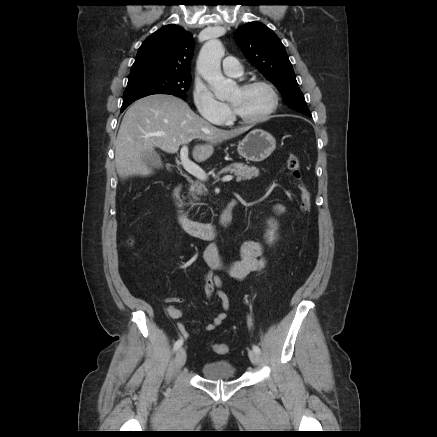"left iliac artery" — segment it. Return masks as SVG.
I'll use <instances>...</instances> for the list:
<instances>
[{"mask_svg": "<svg viewBox=\"0 0 437 437\" xmlns=\"http://www.w3.org/2000/svg\"><path fill=\"white\" fill-rule=\"evenodd\" d=\"M248 324L249 326H251V319H248ZM253 350L256 351L257 353H260V348L257 345H253Z\"/></svg>", "mask_w": 437, "mask_h": 437, "instance_id": "obj_1", "label": "left iliac artery"}]
</instances>
